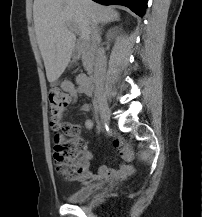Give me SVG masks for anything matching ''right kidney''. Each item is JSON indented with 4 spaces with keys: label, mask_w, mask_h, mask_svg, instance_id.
Instances as JSON below:
<instances>
[{
    "label": "right kidney",
    "mask_w": 202,
    "mask_h": 217,
    "mask_svg": "<svg viewBox=\"0 0 202 217\" xmlns=\"http://www.w3.org/2000/svg\"><path fill=\"white\" fill-rule=\"evenodd\" d=\"M118 32V27L112 28L107 33V38H113Z\"/></svg>",
    "instance_id": "ca27d5eb"
}]
</instances>
